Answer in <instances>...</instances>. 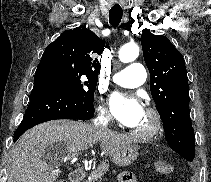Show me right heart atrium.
<instances>
[{
    "instance_id": "d8ad5b80",
    "label": "right heart atrium",
    "mask_w": 211,
    "mask_h": 182,
    "mask_svg": "<svg viewBox=\"0 0 211 182\" xmlns=\"http://www.w3.org/2000/svg\"><path fill=\"white\" fill-rule=\"evenodd\" d=\"M96 115L101 123H108L111 120L109 111L102 104L97 106Z\"/></svg>"
}]
</instances>
